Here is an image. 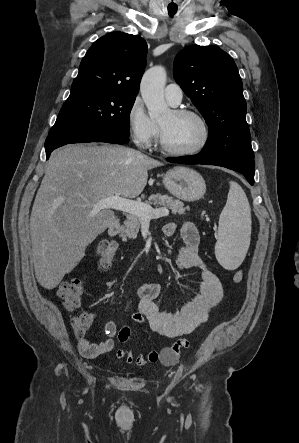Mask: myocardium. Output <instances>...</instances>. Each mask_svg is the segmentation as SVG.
<instances>
[{"instance_id": "myocardium-1", "label": "myocardium", "mask_w": 299, "mask_h": 443, "mask_svg": "<svg viewBox=\"0 0 299 443\" xmlns=\"http://www.w3.org/2000/svg\"><path fill=\"white\" fill-rule=\"evenodd\" d=\"M172 112L176 116H188V117L195 118L201 125L202 138L199 141V143L193 148L186 149V150L172 149V148H169L165 144L164 139H163V132H162V129L159 125V136H158V142H157L159 150L166 155L175 156V157L192 156V155H196V154L200 153L202 150H204L209 142V139H210V128H209V125H208L206 119L203 117V115L195 110L183 109V108L182 109H175Z\"/></svg>"}]
</instances>
